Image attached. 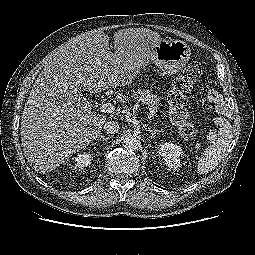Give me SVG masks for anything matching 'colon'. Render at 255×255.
<instances>
[{
  "instance_id": "obj_1",
  "label": "colon",
  "mask_w": 255,
  "mask_h": 255,
  "mask_svg": "<svg viewBox=\"0 0 255 255\" xmlns=\"http://www.w3.org/2000/svg\"><path fill=\"white\" fill-rule=\"evenodd\" d=\"M201 75V64L198 62L190 63L174 80L172 90L168 96L170 120L184 136H193L195 134L193 124L188 121L186 94L200 80ZM207 98L211 103H217L220 100V94L217 90L212 89L208 92Z\"/></svg>"
}]
</instances>
